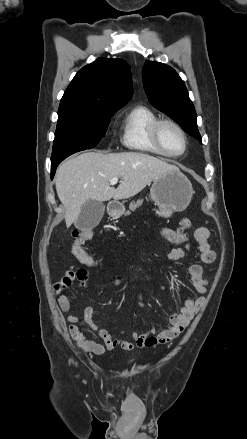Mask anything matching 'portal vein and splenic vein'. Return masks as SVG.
<instances>
[{"label": "portal vein and splenic vein", "instance_id": "obj_1", "mask_svg": "<svg viewBox=\"0 0 247 439\" xmlns=\"http://www.w3.org/2000/svg\"><path fill=\"white\" fill-rule=\"evenodd\" d=\"M118 181H119V179H118L117 177H114V178H112V179L110 180V184H111V185L117 184Z\"/></svg>", "mask_w": 247, "mask_h": 439}]
</instances>
